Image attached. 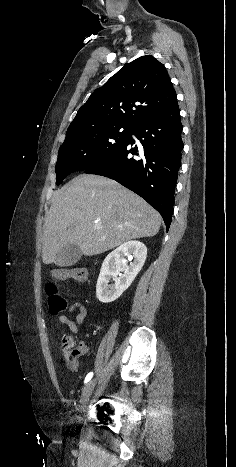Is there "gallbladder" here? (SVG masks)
I'll return each instance as SVG.
<instances>
[{
  "label": "gallbladder",
  "instance_id": "1",
  "mask_svg": "<svg viewBox=\"0 0 236 467\" xmlns=\"http://www.w3.org/2000/svg\"><path fill=\"white\" fill-rule=\"evenodd\" d=\"M81 256V249L76 244H67L57 252L54 263L59 267L72 266Z\"/></svg>",
  "mask_w": 236,
  "mask_h": 467
}]
</instances>
